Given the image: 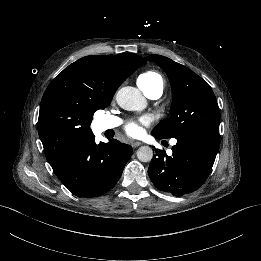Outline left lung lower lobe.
<instances>
[{
  "instance_id": "obj_1",
  "label": "left lung lower lobe",
  "mask_w": 261,
  "mask_h": 261,
  "mask_svg": "<svg viewBox=\"0 0 261 261\" xmlns=\"http://www.w3.org/2000/svg\"><path fill=\"white\" fill-rule=\"evenodd\" d=\"M218 147L219 136L204 131L186 133L177 139L171 156L166 155L164 150L156 149L149 165V177L155 187L163 192L174 196L191 193L207 180Z\"/></svg>"
}]
</instances>
